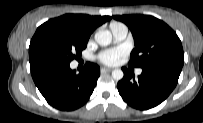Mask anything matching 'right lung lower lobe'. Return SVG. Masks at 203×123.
<instances>
[{"label": "right lung lower lobe", "instance_id": "obj_1", "mask_svg": "<svg viewBox=\"0 0 203 123\" xmlns=\"http://www.w3.org/2000/svg\"><path fill=\"white\" fill-rule=\"evenodd\" d=\"M70 63L55 59L30 61L32 78L46 101L59 110L71 111L83 106L93 93L100 68L87 63L79 72Z\"/></svg>", "mask_w": 203, "mask_h": 123}]
</instances>
